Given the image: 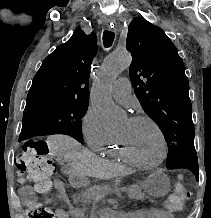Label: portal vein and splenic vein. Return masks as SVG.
<instances>
[{
    "mask_svg": "<svg viewBox=\"0 0 211 218\" xmlns=\"http://www.w3.org/2000/svg\"><path fill=\"white\" fill-rule=\"evenodd\" d=\"M120 190H124V191H127V192H128L130 189H129L128 187L126 188L125 186H123V187H121Z\"/></svg>",
    "mask_w": 211,
    "mask_h": 218,
    "instance_id": "1",
    "label": "portal vein and splenic vein"
}]
</instances>
